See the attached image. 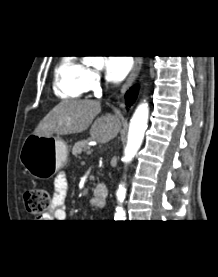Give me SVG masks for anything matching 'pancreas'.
<instances>
[{"mask_svg": "<svg viewBox=\"0 0 218 277\" xmlns=\"http://www.w3.org/2000/svg\"><path fill=\"white\" fill-rule=\"evenodd\" d=\"M83 152H87L88 154L90 153L88 140L78 141L72 148V154L75 157H79Z\"/></svg>", "mask_w": 218, "mask_h": 277, "instance_id": "pancreas-1", "label": "pancreas"}]
</instances>
